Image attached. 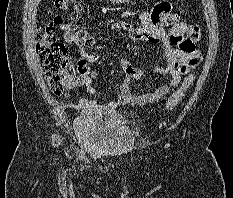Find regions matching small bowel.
Listing matches in <instances>:
<instances>
[{
    "label": "small bowel",
    "mask_w": 233,
    "mask_h": 198,
    "mask_svg": "<svg viewBox=\"0 0 233 198\" xmlns=\"http://www.w3.org/2000/svg\"><path fill=\"white\" fill-rule=\"evenodd\" d=\"M111 27L114 30L124 32L134 42L161 45L164 62L158 63L146 71L133 66L126 59H120L119 66L125 79L120 85L119 94L105 104H101L95 99L80 98L76 101V105L84 110L113 112L122 105H145L157 102L180 83L182 74L177 69L178 65L195 56L201 60V56L195 51V48L188 50L184 47L188 26L180 20L177 14L172 12L170 3L166 1L157 3L151 11L143 10L140 13V23L137 25L119 20L115 21ZM93 43L94 41L91 38L89 44L85 46L91 47ZM98 61L99 55L88 53L85 48L81 49V58L78 63L79 77L76 85L85 86L91 95L98 94L92 82L101 72L90 69L89 64ZM148 75H168L170 81L145 93L137 94L133 92L130 82L143 79Z\"/></svg>",
    "instance_id": "c3829d8e"
}]
</instances>
